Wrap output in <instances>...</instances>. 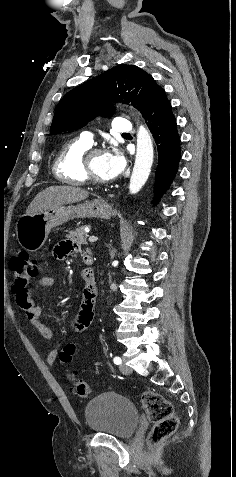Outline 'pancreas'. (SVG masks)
<instances>
[{
    "label": "pancreas",
    "instance_id": "pancreas-1",
    "mask_svg": "<svg viewBox=\"0 0 236 477\" xmlns=\"http://www.w3.org/2000/svg\"><path fill=\"white\" fill-rule=\"evenodd\" d=\"M66 237L73 243L81 245L87 244L86 238L88 234L85 232V226H82L74 231H70Z\"/></svg>",
    "mask_w": 236,
    "mask_h": 477
}]
</instances>
